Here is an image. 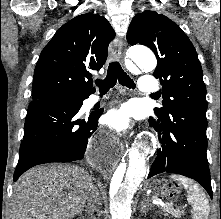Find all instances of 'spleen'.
Instances as JSON below:
<instances>
[{"instance_id":"3e777b00","label":"spleen","mask_w":221,"mask_h":219,"mask_svg":"<svg viewBox=\"0 0 221 219\" xmlns=\"http://www.w3.org/2000/svg\"><path fill=\"white\" fill-rule=\"evenodd\" d=\"M171 178L188 190L187 200L192 206V217L194 219H208L210 213L209 202L199 185L193 180L180 175H171Z\"/></svg>"}]
</instances>
